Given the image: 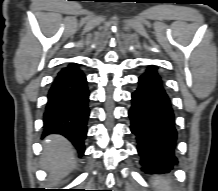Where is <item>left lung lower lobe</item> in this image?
<instances>
[{"instance_id": "left-lung-lower-lobe-1", "label": "left lung lower lobe", "mask_w": 218, "mask_h": 191, "mask_svg": "<svg viewBox=\"0 0 218 191\" xmlns=\"http://www.w3.org/2000/svg\"><path fill=\"white\" fill-rule=\"evenodd\" d=\"M129 110L131 131L137 139L142 170L164 173L177 164L174 114L157 67L151 66L139 77Z\"/></svg>"}]
</instances>
